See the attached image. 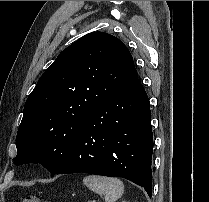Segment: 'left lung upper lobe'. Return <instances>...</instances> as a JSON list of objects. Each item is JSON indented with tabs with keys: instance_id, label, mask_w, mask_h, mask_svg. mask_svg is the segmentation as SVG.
I'll return each instance as SVG.
<instances>
[{
	"instance_id": "5c2ea615",
	"label": "left lung upper lobe",
	"mask_w": 209,
	"mask_h": 202,
	"mask_svg": "<svg viewBox=\"0 0 209 202\" xmlns=\"http://www.w3.org/2000/svg\"><path fill=\"white\" fill-rule=\"evenodd\" d=\"M137 76L129 50L110 34L92 32L68 46L25 103L15 164L41 163L54 176L69 157L85 117Z\"/></svg>"
}]
</instances>
